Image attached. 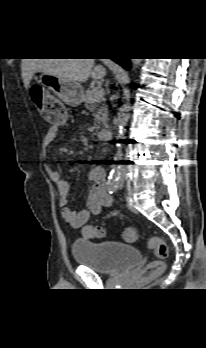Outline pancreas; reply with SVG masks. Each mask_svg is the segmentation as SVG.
<instances>
[{"label": "pancreas", "instance_id": "1", "mask_svg": "<svg viewBox=\"0 0 206 348\" xmlns=\"http://www.w3.org/2000/svg\"><path fill=\"white\" fill-rule=\"evenodd\" d=\"M86 109L92 112L95 120L93 129H100L101 126H106L108 121V108L105 104V100L101 98L98 101L92 100V90H87L83 99Z\"/></svg>", "mask_w": 206, "mask_h": 348}]
</instances>
